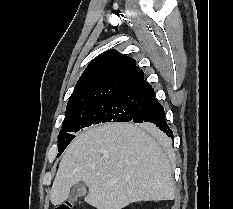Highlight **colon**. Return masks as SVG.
<instances>
[{"mask_svg":"<svg viewBox=\"0 0 233 209\" xmlns=\"http://www.w3.org/2000/svg\"><path fill=\"white\" fill-rule=\"evenodd\" d=\"M55 209H72V204L69 202H64L55 207Z\"/></svg>","mask_w":233,"mask_h":209,"instance_id":"1","label":"colon"}]
</instances>
